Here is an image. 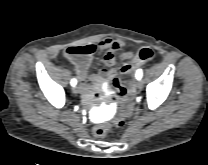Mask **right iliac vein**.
<instances>
[{
	"mask_svg": "<svg viewBox=\"0 0 208 165\" xmlns=\"http://www.w3.org/2000/svg\"><path fill=\"white\" fill-rule=\"evenodd\" d=\"M72 92H73L74 94H78V93H79L78 87H77V86H74V87L72 88Z\"/></svg>",
	"mask_w": 208,
	"mask_h": 165,
	"instance_id": "63e3f726",
	"label": "right iliac vein"
}]
</instances>
